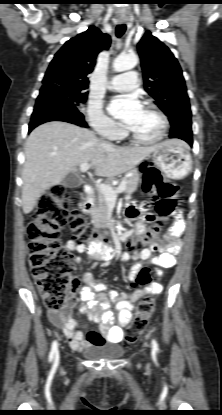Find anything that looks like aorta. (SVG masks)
Listing matches in <instances>:
<instances>
[{"instance_id": "762f6f07", "label": "aorta", "mask_w": 222, "mask_h": 415, "mask_svg": "<svg viewBox=\"0 0 222 415\" xmlns=\"http://www.w3.org/2000/svg\"><path fill=\"white\" fill-rule=\"evenodd\" d=\"M138 63V57L135 54L118 56L113 62V68L116 72H123L133 69Z\"/></svg>"}]
</instances>
